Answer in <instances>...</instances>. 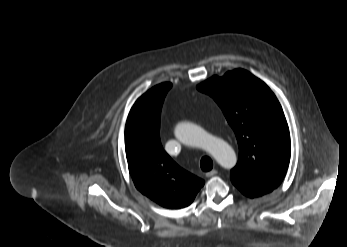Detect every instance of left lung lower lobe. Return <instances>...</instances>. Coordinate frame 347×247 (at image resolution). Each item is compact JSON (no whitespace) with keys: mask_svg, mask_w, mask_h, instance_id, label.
Instances as JSON below:
<instances>
[{"mask_svg":"<svg viewBox=\"0 0 347 247\" xmlns=\"http://www.w3.org/2000/svg\"><path fill=\"white\" fill-rule=\"evenodd\" d=\"M244 195L250 197V198H254V197H258V196H262L264 194H267L269 192H271L272 190H265V189H259V188H253L250 186H247L245 184L242 183H237L234 182L233 183Z\"/></svg>","mask_w":347,"mask_h":247,"instance_id":"1","label":"left lung lower lobe"}]
</instances>
